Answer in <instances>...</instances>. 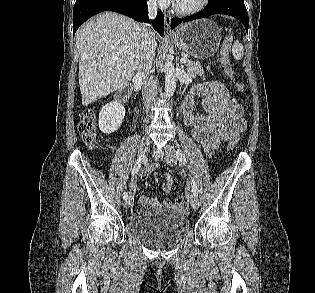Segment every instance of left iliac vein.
Returning a JSON list of instances; mask_svg holds the SVG:
<instances>
[{
	"mask_svg": "<svg viewBox=\"0 0 315 293\" xmlns=\"http://www.w3.org/2000/svg\"><path fill=\"white\" fill-rule=\"evenodd\" d=\"M164 156H165V160H166L167 164H169L170 166L176 165L177 155H176V152L172 146H170V145L166 146ZM190 203H191V206L193 207V209H195V210L198 209L199 199L194 194H191V196H190Z\"/></svg>",
	"mask_w": 315,
	"mask_h": 293,
	"instance_id": "obj_1",
	"label": "left iliac vein"
}]
</instances>
